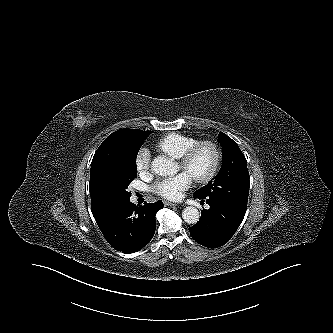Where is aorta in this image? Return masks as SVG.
Instances as JSON below:
<instances>
[{
    "label": "aorta",
    "mask_w": 333,
    "mask_h": 333,
    "mask_svg": "<svg viewBox=\"0 0 333 333\" xmlns=\"http://www.w3.org/2000/svg\"><path fill=\"white\" fill-rule=\"evenodd\" d=\"M152 171L160 176L173 175L178 171V165L166 156L156 157L151 164ZM199 211L193 206L186 207L182 212L183 220L188 224H195L199 220Z\"/></svg>",
    "instance_id": "obj_1"
}]
</instances>
